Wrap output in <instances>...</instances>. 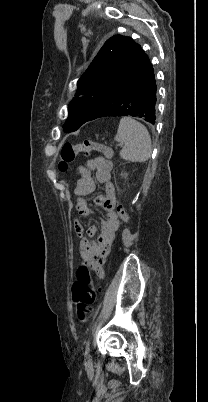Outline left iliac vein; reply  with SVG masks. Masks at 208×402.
Returning a JSON list of instances; mask_svg holds the SVG:
<instances>
[{"instance_id": "4c4485c4", "label": "left iliac vein", "mask_w": 208, "mask_h": 402, "mask_svg": "<svg viewBox=\"0 0 208 402\" xmlns=\"http://www.w3.org/2000/svg\"><path fill=\"white\" fill-rule=\"evenodd\" d=\"M87 364H88V365H91V364H92V357H91V355H89V356L87 357Z\"/></svg>"}]
</instances>
